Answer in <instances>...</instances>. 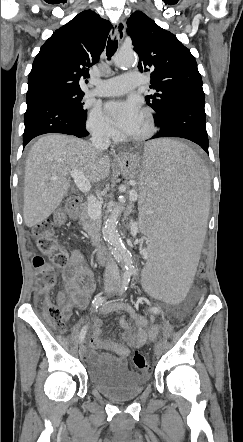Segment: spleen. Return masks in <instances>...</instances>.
Listing matches in <instances>:
<instances>
[{"instance_id": "spleen-1", "label": "spleen", "mask_w": 243, "mask_h": 442, "mask_svg": "<svg viewBox=\"0 0 243 442\" xmlns=\"http://www.w3.org/2000/svg\"><path fill=\"white\" fill-rule=\"evenodd\" d=\"M137 172L141 234L150 242L140 291L165 307H182L206 233L208 174L196 152L170 139L147 143Z\"/></svg>"}]
</instances>
